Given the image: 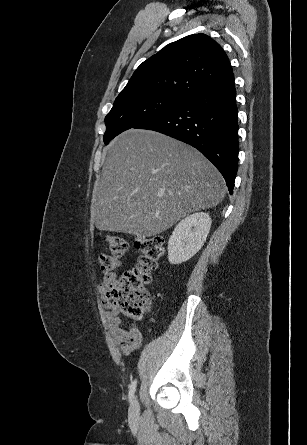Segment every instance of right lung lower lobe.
<instances>
[{"mask_svg": "<svg viewBox=\"0 0 307 445\" xmlns=\"http://www.w3.org/2000/svg\"><path fill=\"white\" fill-rule=\"evenodd\" d=\"M233 73L133 128L157 131L198 149L221 172L230 194L238 169V121Z\"/></svg>", "mask_w": 307, "mask_h": 445, "instance_id": "98d812e1", "label": "right lung lower lobe"}]
</instances>
